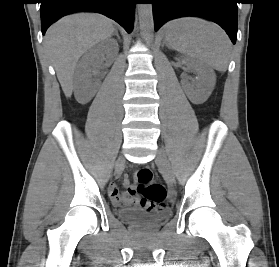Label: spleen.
I'll list each match as a JSON object with an SVG mask.
<instances>
[{
    "label": "spleen",
    "mask_w": 279,
    "mask_h": 267,
    "mask_svg": "<svg viewBox=\"0 0 279 267\" xmlns=\"http://www.w3.org/2000/svg\"><path fill=\"white\" fill-rule=\"evenodd\" d=\"M166 40L172 49L197 59L218 71H226L231 43L215 23L196 17H184L166 26Z\"/></svg>",
    "instance_id": "3e777b00"
}]
</instances>
